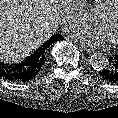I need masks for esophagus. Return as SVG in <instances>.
<instances>
[{
    "label": "esophagus",
    "instance_id": "obj_1",
    "mask_svg": "<svg viewBox=\"0 0 118 118\" xmlns=\"http://www.w3.org/2000/svg\"><path fill=\"white\" fill-rule=\"evenodd\" d=\"M82 49L87 52V53H94V49L92 48H88L87 46L85 45H81Z\"/></svg>",
    "mask_w": 118,
    "mask_h": 118
}]
</instances>
